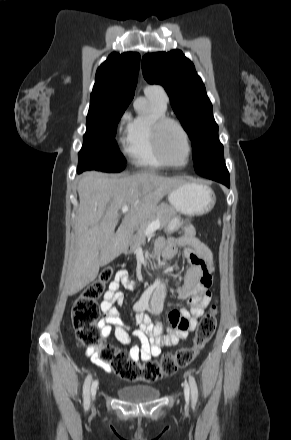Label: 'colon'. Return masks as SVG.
Instances as JSON below:
<instances>
[{
    "label": "colon",
    "instance_id": "colon-1",
    "mask_svg": "<svg viewBox=\"0 0 291 440\" xmlns=\"http://www.w3.org/2000/svg\"><path fill=\"white\" fill-rule=\"evenodd\" d=\"M113 276L110 266L102 268L98 278L88 285L76 298L71 309V327L77 339L94 352L99 361L107 363L113 373L126 381H142L153 383L163 376L175 373L178 369L190 365L199 351L213 336L217 326V303L214 302L199 320L198 329L191 347L181 348L175 353L165 354L160 362L139 364L114 345L105 344L101 340V329L96 325L99 317L97 300L104 293L106 284ZM172 325H176V317H169ZM191 321L183 319L188 325Z\"/></svg>",
    "mask_w": 291,
    "mask_h": 440
}]
</instances>
